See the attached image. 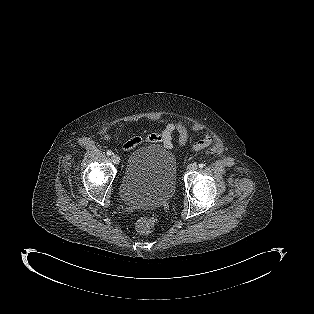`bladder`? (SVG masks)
<instances>
[{
  "instance_id": "31cf9c89",
  "label": "bladder",
  "mask_w": 314,
  "mask_h": 314,
  "mask_svg": "<svg viewBox=\"0 0 314 314\" xmlns=\"http://www.w3.org/2000/svg\"><path fill=\"white\" fill-rule=\"evenodd\" d=\"M177 162L163 147L150 145L129 157L120 184L122 201L135 208H157L173 197L176 190Z\"/></svg>"
}]
</instances>
